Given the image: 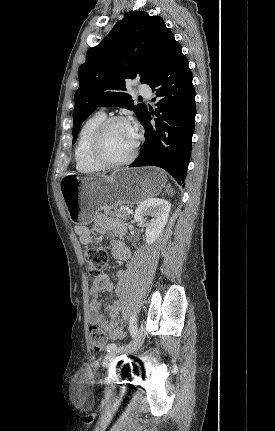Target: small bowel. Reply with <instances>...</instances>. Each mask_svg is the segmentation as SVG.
<instances>
[{
  "label": "small bowel",
  "instance_id": "c3829d8e",
  "mask_svg": "<svg viewBox=\"0 0 275 431\" xmlns=\"http://www.w3.org/2000/svg\"><path fill=\"white\" fill-rule=\"evenodd\" d=\"M94 231L100 235L111 233L115 236H122L125 233L124 224L116 219L105 216L99 217L94 224ZM75 233L79 236L80 242L83 245H89L92 242V230L83 225L75 227ZM111 251L119 261H126L131 257L130 248L122 241L115 240L111 243ZM118 276L122 278L124 272H118ZM113 282L103 274L96 277L90 287L91 301L89 304L88 319L91 324H97L104 329L111 340H120L124 336V329L120 325L121 319V304L119 301L112 302L107 308V315L102 310L100 301V293L102 291H111Z\"/></svg>",
  "mask_w": 275,
  "mask_h": 431
}]
</instances>
